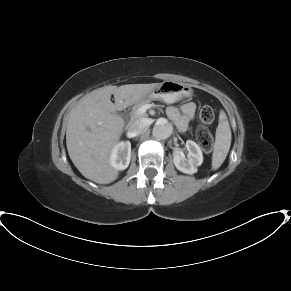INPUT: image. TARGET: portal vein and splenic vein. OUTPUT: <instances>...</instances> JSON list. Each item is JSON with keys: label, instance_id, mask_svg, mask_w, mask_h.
<instances>
[{"label": "portal vein and splenic vein", "instance_id": "1", "mask_svg": "<svg viewBox=\"0 0 291 291\" xmlns=\"http://www.w3.org/2000/svg\"><path fill=\"white\" fill-rule=\"evenodd\" d=\"M149 109V105L146 104V105H143L141 106L138 111H137V114L138 115H143L144 113H146V111Z\"/></svg>", "mask_w": 291, "mask_h": 291}]
</instances>
